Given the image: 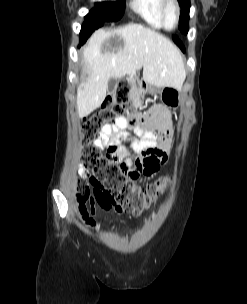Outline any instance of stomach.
<instances>
[{
  "label": "stomach",
  "mask_w": 247,
  "mask_h": 304,
  "mask_svg": "<svg viewBox=\"0 0 247 304\" xmlns=\"http://www.w3.org/2000/svg\"><path fill=\"white\" fill-rule=\"evenodd\" d=\"M153 92L159 93L161 101L169 108H175L181 105L180 90L174 87H163L161 90L159 91L153 90Z\"/></svg>",
  "instance_id": "0dacf381"
}]
</instances>
